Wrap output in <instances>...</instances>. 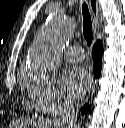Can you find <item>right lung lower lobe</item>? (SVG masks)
Instances as JSON below:
<instances>
[{
  "instance_id": "obj_1",
  "label": "right lung lower lobe",
  "mask_w": 125,
  "mask_h": 128,
  "mask_svg": "<svg viewBox=\"0 0 125 128\" xmlns=\"http://www.w3.org/2000/svg\"><path fill=\"white\" fill-rule=\"evenodd\" d=\"M102 53H103L102 42L98 40L93 46V50H92V56L94 60L93 72H94L95 78H98L101 73ZM88 109H89V105L85 104L84 107L82 108V114L86 113Z\"/></svg>"
}]
</instances>
